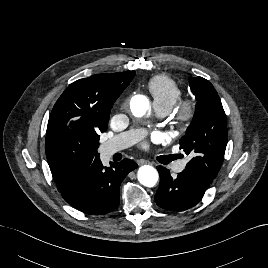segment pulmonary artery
<instances>
[{"label": "pulmonary artery", "mask_w": 268, "mask_h": 268, "mask_svg": "<svg viewBox=\"0 0 268 268\" xmlns=\"http://www.w3.org/2000/svg\"><path fill=\"white\" fill-rule=\"evenodd\" d=\"M162 116H166L168 111L165 109H158ZM142 135L140 130H130L111 137L102 145V152L104 155H111L117 151L125 149L134 144ZM186 166L185 161L177 162L173 165L172 169L176 173H180Z\"/></svg>", "instance_id": "1"}]
</instances>
